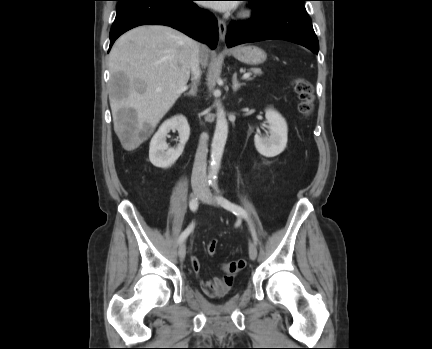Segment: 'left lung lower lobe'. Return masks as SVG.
<instances>
[{
  "instance_id": "0a47b994",
  "label": "left lung lower lobe",
  "mask_w": 432,
  "mask_h": 349,
  "mask_svg": "<svg viewBox=\"0 0 432 349\" xmlns=\"http://www.w3.org/2000/svg\"><path fill=\"white\" fill-rule=\"evenodd\" d=\"M249 1L254 16L245 23L229 25L226 35L228 47L279 39L297 43L318 53V39L303 3L295 0Z\"/></svg>"
}]
</instances>
